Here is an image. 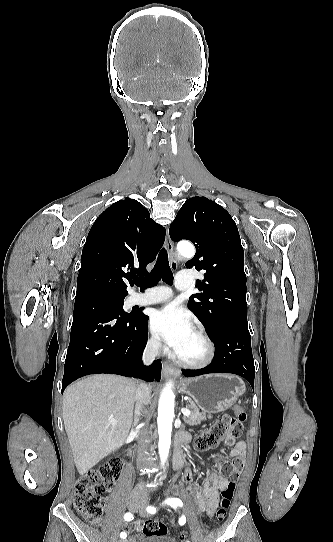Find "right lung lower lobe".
Listing matches in <instances>:
<instances>
[{"label":"right lung lower lobe","mask_w":333,"mask_h":542,"mask_svg":"<svg viewBox=\"0 0 333 542\" xmlns=\"http://www.w3.org/2000/svg\"><path fill=\"white\" fill-rule=\"evenodd\" d=\"M109 259L105 249H93L87 254V261L94 265ZM131 313L120 314L95 294L75 298L62 393L74 380L96 373L160 381V360L148 367L141 361L148 337V316L140 310Z\"/></svg>","instance_id":"98d812e1"}]
</instances>
